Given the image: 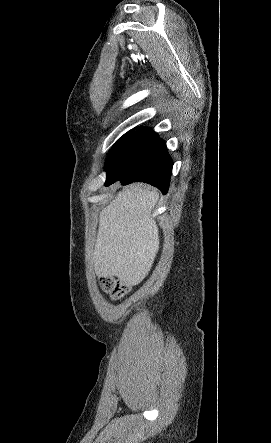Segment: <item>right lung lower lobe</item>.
<instances>
[{"label": "right lung lower lobe", "instance_id": "1", "mask_svg": "<svg viewBox=\"0 0 271 443\" xmlns=\"http://www.w3.org/2000/svg\"><path fill=\"white\" fill-rule=\"evenodd\" d=\"M173 162L163 140L150 128L133 131L117 159L106 169L105 186L145 182L165 194L169 188Z\"/></svg>", "mask_w": 271, "mask_h": 443}]
</instances>
